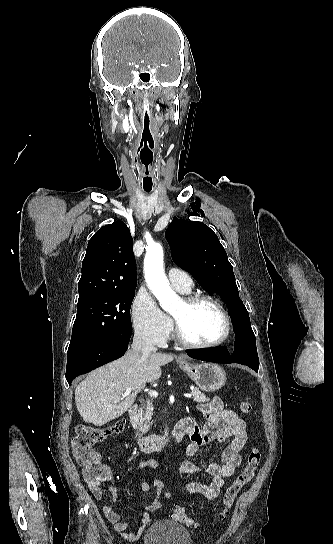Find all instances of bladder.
Listing matches in <instances>:
<instances>
[{
  "instance_id": "obj_1",
  "label": "bladder",
  "mask_w": 333,
  "mask_h": 544,
  "mask_svg": "<svg viewBox=\"0 0 333 544\" xmlns=\"http://www.w3.org/2000/svg\"><path fill=\"white\" fill-rule=\"evenodd\" d=\"M143 544H193L183 525L167 520L152 523L143 537Z\"/></svg>"
}]
</instances>
